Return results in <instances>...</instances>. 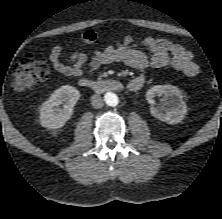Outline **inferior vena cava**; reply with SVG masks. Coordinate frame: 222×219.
Returning <instances> with one entry per match:
<instances>
[{
    "instance_id": "inferior-vena-cava-1",
    "label": "inferior vena cava",
    "mask_w": 222,
    "mask_h": 219,
    "mask_svg": "<svg viewBox=\"0 0 222 219\" xmlns=\"http://www.w3.org/2000/svg\"><path fill=\"white\" fill-rule=\"evenodd\" d=\"M91 104L94 108L100 109L103 107L104 102L101 96L95 94L91 97Z\"/></svg>"
}]
</instances>
